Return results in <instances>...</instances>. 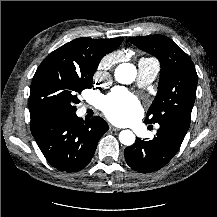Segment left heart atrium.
Wrapping results in <instances>:
<instances>
[{"instance_id":"39dd6f15","label":"left heart atrium","mask_w":217,"mask_h":217,"mask_svg":"<svg viewBox=\"0 0 217 217\" xmlns=\"http://www.w3.org/2000/svg\"><path fill=\"white\" fill-rule=\"evenodd\" d=\"M102 110L112 122L127 124L139 115L141 106L136 97L117 88L104 98Z\"/></svg>"}]
</instances>
